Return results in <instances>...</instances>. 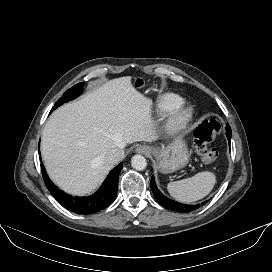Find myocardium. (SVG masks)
Segmentation results:
<instances>
[{
    "mask_svg": "<svg viewBox=\"0 0 272 272\" xmlns=\"http://www.w3.org/2000/svg\"><path fill=\"white\" fill-rule=\"evenodd\" d=\"M193 117V108L186 103L180 104L170 112L165 126L166 131L171 134L185 131Z\"/></svg>",
    "mask_w": 272,
    "mask_h": 272,
    "instance_id": "1",
    "label": "myocardium"
}]
</instances>
